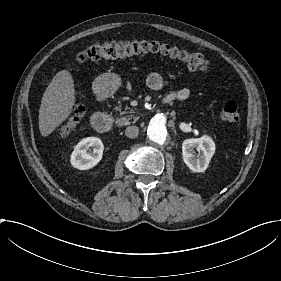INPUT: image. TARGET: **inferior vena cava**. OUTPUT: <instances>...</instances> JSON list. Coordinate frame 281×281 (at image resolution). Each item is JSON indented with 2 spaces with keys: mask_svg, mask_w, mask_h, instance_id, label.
Wrapping results in <instances>:
<instances>
[{
  "mask_svg": "<svg viewBox=\"0 0 281 281\" xmlns=\"http://www.w3.org/2000/svg\"><path fill=\"white\" fill-rule=\"evenodd\" d=\"M139 128L137 126H129L125 130V135L129 138H135L138 136Z\"/></svg>",
  "mask_w": 281,
  "mask_h": 281,
  "instance_id": "obj_1",
  "label": "inferior vena cava"
}]
</instances>
